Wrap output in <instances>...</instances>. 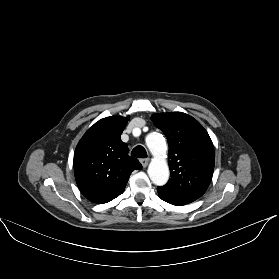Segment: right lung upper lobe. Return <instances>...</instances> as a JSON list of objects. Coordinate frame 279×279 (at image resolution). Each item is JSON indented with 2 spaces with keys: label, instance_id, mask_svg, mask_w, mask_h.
<instances>
[{
  "label": "right lung upper lobe",
  "instance_id": "1",
  "mask_svg": "<svg viewBox=\"0 0 279 279\" xmlns=\"http://www.w3.org/2000/svg\"><path fill=\"white\" fill-rule=\"evenodd\" d=\"M129 116H111L95 123L81 138L74 152V173L81 193L94 203H107L124 192L141 163L128 155L121 141Z\"/></svg>",
  "mask_w": 279,
  "mask_h": 279
}]
</instances>
